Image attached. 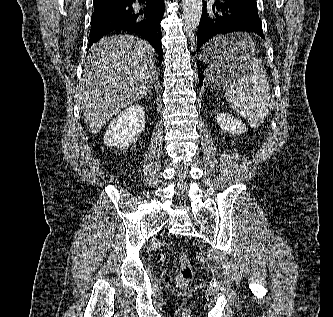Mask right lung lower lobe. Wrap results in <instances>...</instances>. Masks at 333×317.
I'll return each instance as SVG.
<instances>
[{"mask_svg":"<svg viewBox=\"0 0 333 317\" xmlns=\"http://www.w3.org/2000/svg\"><path fill=\"white\" fill-rule=\"evenodd\" d=\"M145 4L136 9L133 3ZM164 15V0H118L95 4L91 17L90 42L88 48L110 33L128 32L147 40L163 56L160 22Z\"/></svg>","mask_w":333,"mask_h":317,"instance_id":"1","label":"right lung lower lobe"}]
</instances>
